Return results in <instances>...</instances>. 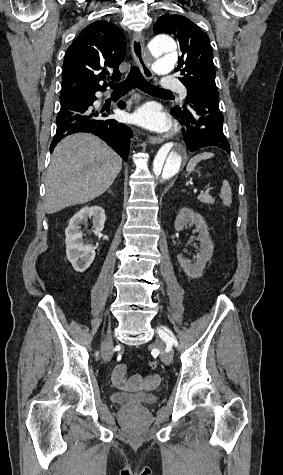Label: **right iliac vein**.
<instances>
[{"instance_id":"63e3f726","label":"right iliac vein","mask_w":283,"mask_h":475,"mask_svg":"<svg viewBox=\"0 0 283 475\" xmlns=\"http://www.w3.org/2000/svg\"><path fill=\"white\" fill-rule=\"evenodd\" d=\"M113 344H112V336L109 333L102 343V358L105 363L110 362L111 360V350H112Z\"/></svg>"}]
</instances>
